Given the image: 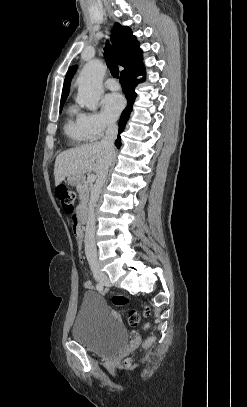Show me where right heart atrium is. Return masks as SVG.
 I'll use <instances>...</instances> for the list:
<instances>
[{
  "mask_svg": "<svg viewBox=\"0 0 247 407\" xmlns=\"http://www.w3.org/2000/svg\"><path fill=\"white\" fill-rule=\"evenodd\" d=\"M83 120L91 140L100 138L114 126V122L101 112L84 113Z\"/></svg>",
  "mask_w": 247,
  "mask_h": 407,
  "instance_id": "right-heart-atrium-1",
  "label": "right heart atrium"
}]
</instances>
